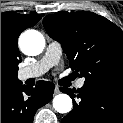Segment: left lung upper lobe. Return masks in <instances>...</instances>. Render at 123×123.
<instances>
[{"label": "left lung upper lobe", "mask_w": 123, "mask_h": 123, "mask_svg": "<svg viewBox=\"0 0 123 123\" xmlns=\"http://www.w3.org/2000/svg\"><path fill=\"white\" fill-rule=\"evenodd\" d=\"M48 35L58 41L70 67L85 84L123 89V31L88 11L50 14L43 19Z\"/></svg>", "instance_id": "left-lung-upper-lobe-1"}]
</instances>
